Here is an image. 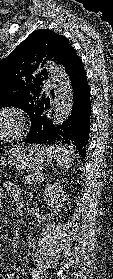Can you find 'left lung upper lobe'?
<instances>
[{"label":"left lung upper lobe","mask_w":113,"mask_h":279,"mask_svg":"<svg viewBox=\"0 0 113 279\" xmlns=\"http://www.w3.org/2000/svg\"><path fill=\"white\" fill-rule=\"evenodd\" d=\"M72 50L62 35L48 29L33 31L0 61V108L16 106L24 110L32 125L36 106L45 97L42 81L48 78L47 70L41 68L46 60L62 65Z\"/></svg>","instance_id":"5c2ea615"}]
</instances>
